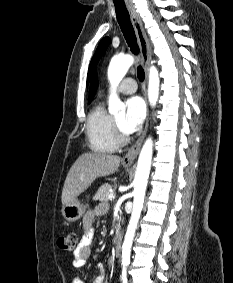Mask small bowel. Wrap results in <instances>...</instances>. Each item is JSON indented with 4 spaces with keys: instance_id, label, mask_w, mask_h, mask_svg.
<instances>
[{
    "instance_id": "1",
    "label": "small bowel",
    "mask_w": 233,
    "mask_h": 283,
    "mask_svg": "<svg viewBox=\"0 0 233 283\" xmlns=\"http://www.w3.org/2000/svg\"><path fill=\"white\" fill-rule=\"evenodd\" d=\"M106 212L105 205H99L95 208L89 209L83 218V231L82 238L78 244L77 249L74 252V261L73 265L76 268L83 267L88 258L91 255V246L94 239V220L97 216L102 215ZM98 273L93 278L91 283H104V274L102 266L97 267ZM72 283H84L80 277H75L72 280Z\"/></svg>"
}]
</instances>
